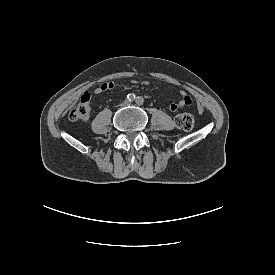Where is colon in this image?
<instances>
[{
  "label": "colon",
  "instance_id": "obj_1",
  "mask_svg": "<svg viewBox=\"0 0 275 275\" xmlns=\"http://www.w3.org/2000/svg\"><path fill=\"white\" fill-rule=\"evenodd\" d=\"M91 94L84 93L79 102L70 108L68 118L71 121L83 120L88 117L90 112ZM195 115L191 112H186L178 115L175 119V124L178 128L184 131H190L195 125Z\"/></svg>",
  "mask_w": 275,
  "mask_h": 275
}]
</instances>
